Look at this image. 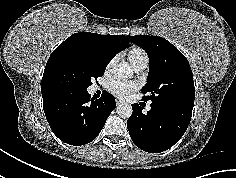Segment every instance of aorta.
Returning a JSON list of instances; mask_svg holds the SVG:
<instances>
[{"mask_svg": "<svg viewBox=\"0 0 236 178\" xmlns=\"http://www.w3.org/2000/svg\"><path fill=\"white\" fill-rule=\"evenodd\" d=\"M113 75H114L115 79H117V80H124V79L131 78L133 73H132L130 67H128L125 64L120 63V64H117L113 68ZM116 112H117L118 116L126 119L132 115L133 109H132L131 105L126 104V103H122L117 106Z\"/></svg>", "mask_w": 236, "mask_h": 178, "instance_id": "aorta-1", "label": "aorta"}]
</instances>
